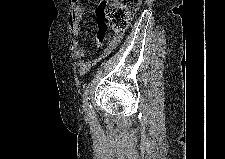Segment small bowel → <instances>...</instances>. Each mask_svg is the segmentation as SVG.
Wrapping results in <instances>:
<instances>
[{"instance_id": "c3829d8e", "label": "small bowel", "mask_w": 225, "mask_h": 159, "mask_svg": "<svg viewBox=\"0 0 225 159\" xmlns=\"http://www.w3.org/2000/svg\"><path fill=\"white\" fill-rule=\"evenodd\" d=\"M83 14H84L83 6L81 4H75L72 6L69 17V28L72 35V38L69 41V48L73 56L77 59L76 68L80 75L86 74L91 69L92 65L99 59L98 57L92 61L87 60L86 57L88 56V53L84 48L80 47L79 45L78 42V37L80 35L79 24L82 20ZM106 31H107L106 28H102L100 25L98 26L97 43H96L97 48L101 46L103 40L105 39ZM120 39L121 37L116 38L114 35H112L108 47L101 54V56L109 54L119 43ZM112 40H114L113 44L111 43Z\"/></svg>"}]
</instances>
